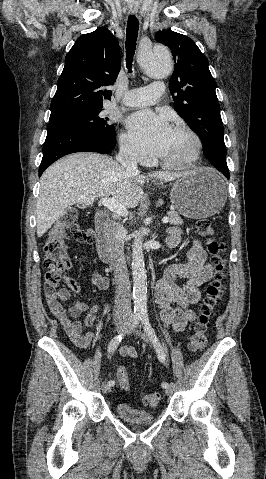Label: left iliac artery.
Wrapping results in <instances>:
<instances>
[{"label":"left iliac artery","instance_id":"1","mask_svg":"<svg viewBox=\"0 0 266 479\" xmlns=\"http://www.w3.org/2000/svg\"><path fill=\"white\" fill-rule=\"evenodd\" d=\"M141 322H142V325H143V328L145 330V332L147 333V335L149 336L150 340L153 342L154 344V347L156 349V352H157V355H158V359L161 361V362H164L165 361V357H166V354H165V351L162 347V345L160 344L156 334H155V331L154 329L152 328L150 322H149V317H148V314L147 313H142L141 315ZM163 388H167L169 386V384L167 382H163L162 385H161Z\"/></svg>","mask_w":266,"mask_h":479}]
</instances>
